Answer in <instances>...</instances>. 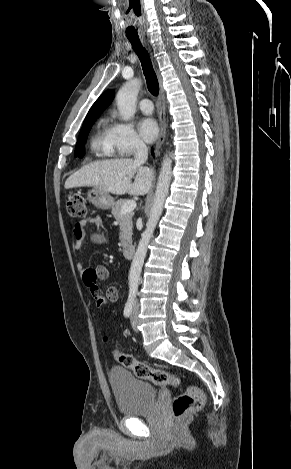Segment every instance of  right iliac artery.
<instances>
[{
    "mask_svg": "<svg viewBox=\"0 0 291 469\" xmlns=\"http://www.w3.org/2000/svg\"><path fill=\"white\" fill-rule=\"evenodd\" d=\"M134 295H130L128 300H127V303L125 305V308H124V316L125 317H129L131 315V312H132V307H133V303H134Z\"/></svg>",
    "mask_w": 291,
    "mask_h": 469,
    "instance_id": "right-iliac-artery-1",
    "label": "right iliac artery"
}]
</instances>
